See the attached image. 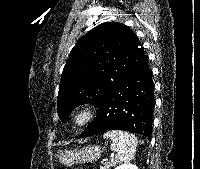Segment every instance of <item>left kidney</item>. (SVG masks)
Listing matches in <instances>:
<instances>
[{
	"instance_id": "obj_1",
	"label": "left kidney",
	"mask_w": 200,
	"mask_h": 169,
	"mask_svg": "<svg viewBox=\"0 0 200 169\" xmlns=\"http://www.w3.org/2000/svg\"><path fill=\"white\" fill-rule=\"evenodd\" d=\"M115 169H138V167L131 163H124L117 166Z\"/></svg>"
}]
</instances>
